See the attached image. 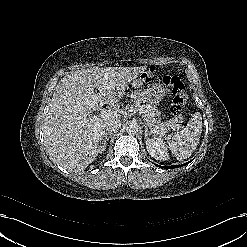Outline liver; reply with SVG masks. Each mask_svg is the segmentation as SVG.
Returning a JSON list of instances; mask_svg holds the SVG:
<instances>
[{"label": "liver", "instance_id": "1", "mask_svg": "<svg viewBox=\"0 0 247 247\" xmlns=\"http://www.w3.org/2000/svg\"><path fill=\"white\" fill-rule=\"evenodd\" d=\"M145 70L146 66L92 67L63 77L44 119V142L50 159L69 171H81L91 164L104 135V124L121 119L120 110L108 117L92 115V111L122 99L128 84Z\"/></svg>", "mask_w": 247, "mask_h": 247}]
</instances>
